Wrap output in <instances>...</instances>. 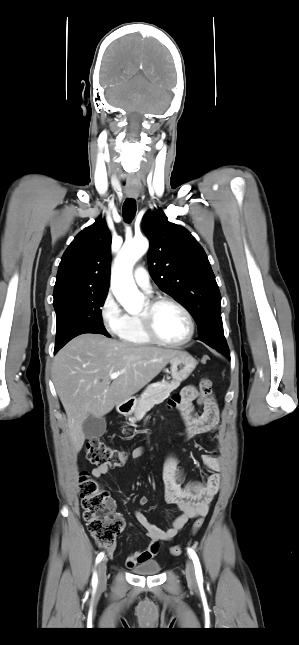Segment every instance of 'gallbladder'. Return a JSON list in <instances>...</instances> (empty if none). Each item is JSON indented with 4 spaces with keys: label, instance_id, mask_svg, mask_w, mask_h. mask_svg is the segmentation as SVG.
Returning <instances> with one entry per match:
<instances>
[{
    "label": "gallbladder",
    "instance_id": "obj_1",
    "mask_svg": "<svg viewBox=\"0 0 299 645\" xmlns=\"http://www.w3.org/2000/svg\"><path fill=\"white\" fill-rule=\"evenodd\" d=\"M106 425L107 423L104 417L97 418L90 415L82 424L86 439L101 437L106 432Z\"/></svg>",
    "mask_w": 299,
    "mask_h": 645
}]
</instances>
